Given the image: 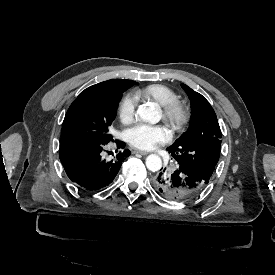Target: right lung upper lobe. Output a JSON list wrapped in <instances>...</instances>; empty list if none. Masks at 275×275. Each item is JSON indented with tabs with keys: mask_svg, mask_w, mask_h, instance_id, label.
Returning a JSON list of instances; mask_svg holds the SVG:
<instances>
[{
	"mask_svg": "<svg viewBox=\"0 0 275 275\" xmlns=\"http://www.w3.org/2000/svg\"><path fill=\"white\" fill-rule=\"evenodd\" d=\"M134 84H135V82L132 80L111 79L108 81L98 83L96 85H92V86L88 87L87 89H85L80 94L98 92V91H103V90H111V89H117V88H127L128 89L129 87H131Z\"/></svg>",
	"mask_w": 275,
	"mask_h": 275,
	"instance_id": "cb5924a9",
	"label": "right lung upper lobe"
}]
</instances>
